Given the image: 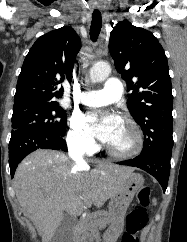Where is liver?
I'll use <instances>...</instances> for the list:
<instances>
[{"label":"liver","instance_id":"1","mask_svg":"<svg viewBox=\"0 0 187 242\" xmlns=\"http://www.w3.org/2000/svg\"><path fill=\"white\" fill-rule=\"evenodd\" d=\"M133 171L108 164L90 171L88 165L78 166L61 152L37 150L19 164L14 188L42 242H51L64 212L79 216L85 206L102 207L123 188Z\"/></svg>","mask_w":187,"mask_h":242}]
</instances>
